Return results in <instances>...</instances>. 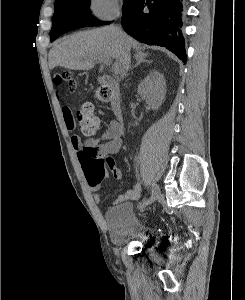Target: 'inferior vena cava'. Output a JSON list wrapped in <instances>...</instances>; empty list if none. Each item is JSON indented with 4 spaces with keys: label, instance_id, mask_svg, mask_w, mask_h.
Returning a JSON list of instances; mask_svg holds the SVG:
<instances>
[{
    "label": "inferior vena cava",
    "instance_id": "inferior-vena-cava-1",
    "mask_svg": "<svg viewBox=\"0 0 245 300\" xmlns=\"http://www.w3.org/2000/svg\"><path fill=\"white\" fill-rule=\"evenodd\" d=\"M117 31L120 35H122V31L119 27H117ZM129 65H130V58H129V55L128 53H126V57H125V61H124V68H125V71H128L129 69Z\"/></svg>",
    "mask_w": 245,
    "mask_h": 300
}]
</instances>
